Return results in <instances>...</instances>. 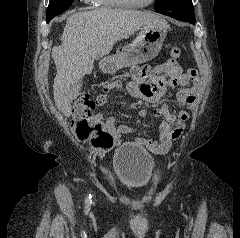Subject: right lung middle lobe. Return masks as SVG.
Returning a JSON list of instances; mask_svg holds the SVG:
<instances>
[{"label": "right lung middle lobe", "instance_id": "dd1d6c3e", "mask_svg": "<svg viewBox=\"0 0 240 238\" xmlns=\"http://www.w3.org/2000/svg\"><path fill=\"white\" fill-rule=\"evenodd\" d=\"M74 0H50L47 8V23L56 15L68 9Z\"/></svg>", "mask_w": 240, "mask_h": 238}]
</instances>
